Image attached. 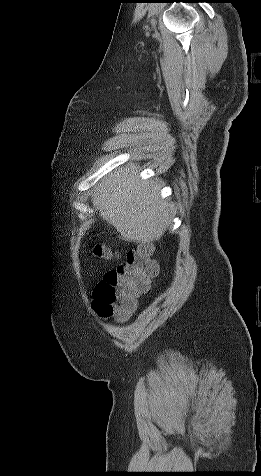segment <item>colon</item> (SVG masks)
Returning <instances> with one entry per match:
<instances>
[{
	"mask_svg": "<svg viewBox=\"0 0 261 476\" xmlns=\"http://www.w3.org/2000/svg\"><path fill=\"white\" fill-rule=\"evenodd\" d=\"M94 252L104 258L112 255L102 245H97ZM152 253V246L142 243L125 254L121 265L106 273L94 291L93 306L99 316L124 320L132 314L138 295L147 291L150 280L158 272Z\"/></svg>",
	"mask_w": 261,
	"mask_h": 476,
	"instance_id": "obj_1",
	"label": "colon"
}]
</instances>
